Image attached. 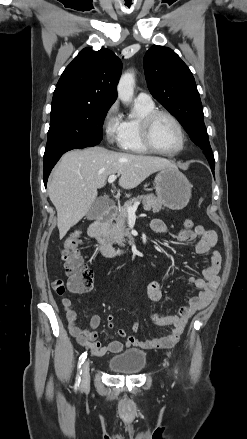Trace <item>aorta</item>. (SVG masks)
Here are the masks:
<instances>
[{
    "label": "aorta",
    "instance_id": "1",
    "mask_svg": "<svg viewBox=\"0 0 247 439\" xmlns=\"http://www.w3.org/2000/svg\"><path fill=\"white\" fill-rule=\"evenodd\" d=\"M134 86H135V76L133 72H125L118 83L117 93L118 98L123 103H128L131 101L134 94Z\"/></svg>",
    "mask_w": 247,
    "mask_h": 439
}]
</instances>
